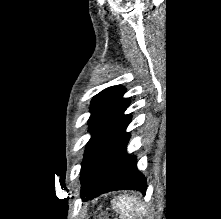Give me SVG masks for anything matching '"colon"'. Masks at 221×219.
Returning a JSON list of instances; mask_svg holds the SVG:
<instances>
[{"label":"colon","instance_id":"obj_1","mask_svg":"<svg viewBox=\"0 0 221 219\" xmlns=\"http://www.w3.org/2000/svg\"><path fill=\"white\" fill-rule=\"evenodd\" d=\"M98 219H110L107 214H102L98 217Z\"/></svg>","mask_w":221,"mask_h":219}]
</instances>
